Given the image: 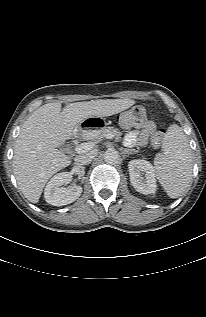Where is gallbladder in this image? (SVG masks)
Segmentation results:
<instances>
[{
    "instance_id": "obj_1",
    "label": "gallbladder",
    "mask_w": 206,
    "mask_h": 317,
    "mask_svg": "<svg viewBox=\"0 0 206 317\" xmlns=\"http://www.w3.org/2000/svg\"><path fill=\"white\" fill-rule=\"evenodd\" d=\"M61 149L65 152H68V147L66 145H62L61 146Z\"/></svg>"
}]
</instances>
